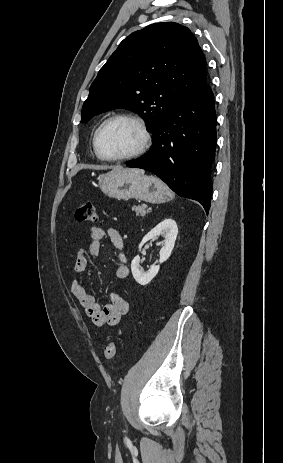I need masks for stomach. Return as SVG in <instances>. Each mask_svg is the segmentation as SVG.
Wrapping results in <instances>:
<instances>
[{
  "instance_id": "0dacf381",
  "label": "stomach",
  "mask_w": 283,
  "mask_h": 463,
  "mask_svg": "<svg viewBox=\"0 0 283 463\" xmlns=\"http://www.w3.org/2000/svg\"><path fill=\"white\" fill-rule=\"evenodd\" d=\"M104 194L118 200L139 199L149 203H162L173 197L171 190L158 178L135 171H111L99 178Z\"/></svg>"
}]
</instances>
